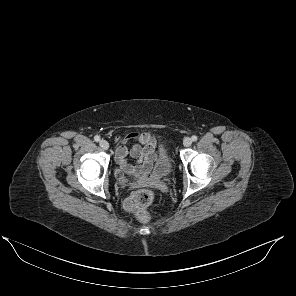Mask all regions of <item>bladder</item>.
<instances>
[{"label":"bladder","instance_id":"1","mask_svg":"<svg viewBox=\"0 0 296 296\" xmlns=\"http://www.w3.org/2000/svg\"><path fill=\"white\" fill-rule=\"evenodd\" d=\"M174 170V163L166 146L160 143L157 147L156 159L152 167V174L157 178L170 176Z\"/></svg>","mask_w":296,"mask_h":296}]
</instances>
